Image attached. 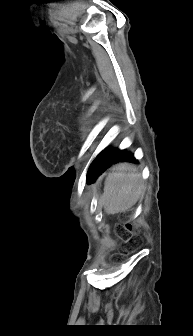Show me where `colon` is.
Masks as SVG:
<instances>
[{"instance_id":"colon-1","label":"colon","mask_w":193,"mask_h":336,"mask_svg":"<svg viewBox=\"0 0 193 336\" xmlns=\"http://www.w3.org/2000/svg\"><path fill=\"white\" fill-rule=\"evenodd\" d=\"M126 229L129 233L135 232L137 230V228L130 222L126 223ZM128 243L130 244V247L133 248L137 245V242L135 240H133L132 238H128L127 239ZM124 252L126 254H128L130 252L129 249H125Z\"/></svg>"}]
</instances>
